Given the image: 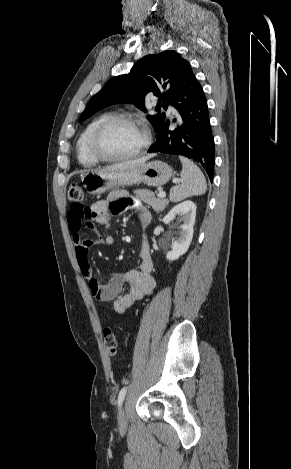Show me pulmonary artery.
<instances>
[{
	"label": "pulmonary artery",
	"mask_w": 291,
	"mask_h": 469,
	"mask_svg": "<svg viewBox=\"0 0 291 469\" xmlns=\"http://www.w3.org/2000/svg\"><path fill=\"white\" fill-rule=\"evenodd\" d=\"M168 110L173 112V111H174V108H173L171 105H169V106H168Z\"/></svg>",
	"instance_id": "1"
}]
</instances>
